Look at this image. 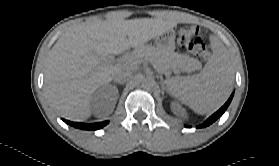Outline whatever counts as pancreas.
<instances>
[{"mask_svg":"<svg viewBox=\"0 0 279 166\" xmlns=\"http://www.w3.org/2000/svg\"><path fill=\"white\" fill-rule=\"evenodd\" d=\"M144 60L150 61L153 66L162 71L181 69L193 71L200 67L198 60L187 55L161 51L153 46H141L127 56L125 61L129 67L137 68Z\"/></svg>","mask_w":279,"mask_h":166,"instance_id":"pancreas-1","label":"pancreas"}]
</instances>
